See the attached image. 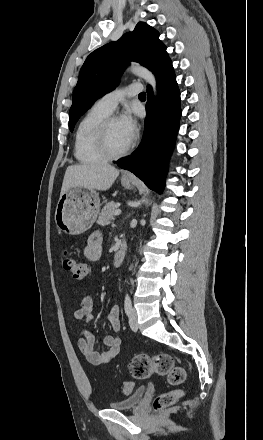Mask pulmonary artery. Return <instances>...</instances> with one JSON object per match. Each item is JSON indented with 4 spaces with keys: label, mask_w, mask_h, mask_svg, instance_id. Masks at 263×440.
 <instances>
[{
    "label": "pulmonary artery",
    "mask_w": 263,
    "mask_h": 440,
    "mask_svg": "<svg viewBox=\"0 0 263 440\" xmlns=\"http://www.w3.org/2000/svg\"><path fill=\"white\" fill-rule=\"evenodd\" d=\"M142 87L138 83H130L125 88L113 90L102 96L96 104L108 112H112L117 104L128 96H135L141 93Z\"/></svg>",
    "instance_id": "e3ab8cb5"
}]
</instances>
